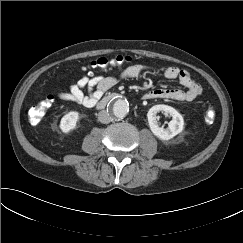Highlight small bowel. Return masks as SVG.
<instances>
[{"label":"small bowel","mask_w":243,"mask_h":243,"mask_svg":"<svg viewBox=\"0 0 243 243\" xmlns=\"http://www.w3.org/2000/svg\"><path fill=\"white\" fill-rule=\"evenodd\" d=\"M146 72L156 73L157 69L143 64H135L126 67L118 76L85 75L72 83L68 91L60 92L58 97L61 100L74 102L84 107H93L101 96L115 86L119 80L133 79ZM163 75L167 79L178 80L186 90L151 89L143 95L144 99L160 98L178 102H192L201 96V86L195 82L186 70L168 67L163 71Z\"/></svg>","instance_id":"1"}]
</instances>
